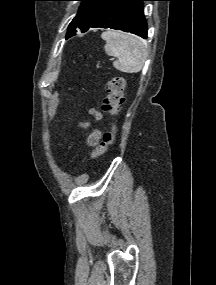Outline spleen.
I'll return each mask as SVG.
<instances>
[{
	"label": "spleen",
	"instance_id": "spleen-1",
	"mask_svg": "<svg viewBox=\"0 0 216 285\" xmlns=\"http://www.w3.org/2000/svg\"><path fill=\"white\" fill-rule=\"evenodd\" d=\"M101 37L106 42V54L117 58L113 62L114 68L124 73H138L142 70L147 57L144 41L132 34L111 30L103 32Z\"/></svg>",
	"mask_w": 216,
	"mask_h": 285
}]
</instances>
